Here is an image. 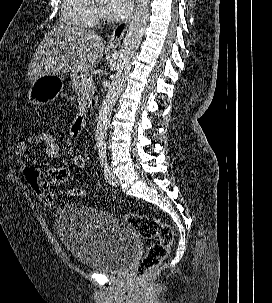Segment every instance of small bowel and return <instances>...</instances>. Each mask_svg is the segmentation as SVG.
<instances>
[{
	"label": "small bowel",
	"mask_w": 272,
	"mask_h": 303,
	"mask_svg": "<svg viewBox=\"0 0 272 303\" xmlns=\"http://www.w3.org/2000/svg\"><path fill=\"white\" fill-rule=\"evenodd\" d=\"M40 147L37 135H31L26 140L19 142L16 145V155L18 157V164L24 170L27 169L22 157L25 156L30 148ZM48 157L56 159L60 156V149H46ZM39 185L47 190L52 186H58L66 183L70 178V170L64 166L50 167L43 170H35Z\"/></svg>",
	"instance_id": "c3829d8e"
}]
</instances>
